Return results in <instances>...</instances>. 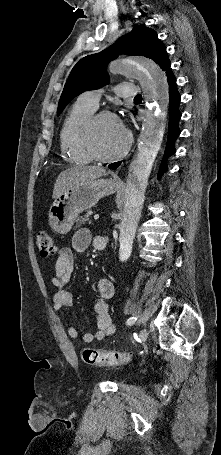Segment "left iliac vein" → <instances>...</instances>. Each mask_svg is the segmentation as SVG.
I'll return each mask as SVG.
<instances>
[{"instance_id":"4c4485c4","label":"left iliac vein","mask_w":221,"mask_h":455,"mask_svg":"<svg viewBox=\"0 0 221 455\" xmlns=\"http://www.w3.org/2000/svg\"><path fill=\"white\" fill-rule=\"evenodd\" d=\"M148 337V332L146 329H142L139 333V340L141 343L145 342Z\"/></svg>"}]
</instances>
